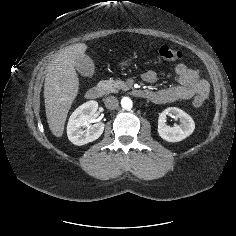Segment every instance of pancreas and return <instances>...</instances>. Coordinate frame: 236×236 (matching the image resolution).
Returning a JSON list of instances; mask_svg holds the SVG:
<instances>
[{
    "mask_svg": "<svg viewBox=\"0 0 236 236\" xmlns=\"http://www.w3.org/2000/svg\"><path fill=\"white\" fill-rule=\"evenodd\" d=\"M104 85V91L106 94L115 93L119 89L127 90L128 86L123 81L118 80H105L102 82Z\"/></svg>",
    "mask_w": 236,
    "mask_h": 236,
    "instance_id": "1",
    "label": "pancreas"
}]
</instances>
